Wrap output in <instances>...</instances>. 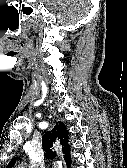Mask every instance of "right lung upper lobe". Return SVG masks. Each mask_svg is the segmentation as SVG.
Instances as JSON below:
<instances>
[{
	"instance_id": "right-lung-upper-lobe-1",
	"label": "right lung upper lobe",
	"mask_w": 127,
	"mask_h": 168,
	"mask_svg": "<svg viewBox=\"0 0 127 168\" xmlns=\"http://www.w3.org/2000/svg\"><path fill=\"white\" fill-rule=\"evenodd\" d=\"M56 138H60V142L62 145V154L63 158L66 162L67 168L71 165V157H70V146L68 145V131L66 126L62 122H57L56 127L49 132H46L42 138L43 149L47 153V157H54L55 152L51 151V147L53 142H55ZM15 163V159L10 161L7 165V168H11Z\"/></svg>"
}]
</instances>
